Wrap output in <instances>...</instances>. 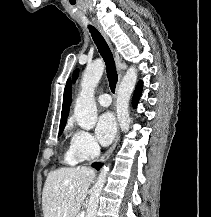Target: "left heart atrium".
Segmentation results:
<instances>
[{
  "label": "left heart atrium",
  "mask_w": 211,
  "mask_h": 217,
  "mask_svg": "<svg viewBox=\"0 0 211 217\" xmlns=\"http://www.w3.org/2000/svg\"><path fill=\"white\" fill-rule=\"evenodd\" d=\"M116 132V123L113 115L109 112L102 114L96 124L95 133L99 142L108 145Z\"/></svg>",
  "instance_id": "left-heart-atrium-1"
}]
</instances>
